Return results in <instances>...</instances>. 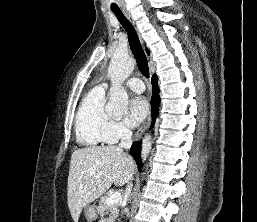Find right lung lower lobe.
I'll return each mask as SVG.
<instances>
[{
	"mask_svg": "<svg viewBox=\"0 0 257 222\" xmlns=\"http://www.w3.org/2000/svg\"><path fill=\"white\" fill-rule=\"evenodd\" d=\"M158 78L156 75H153L152 77V90H153V95L151 99V106H152V126L155 123L157 114H158V107L160 105V97H159V87L157 85ZM140 152H141V142H135L132 145V148L130 150L131 156L135 159L139 171H141L142 168V163L140 160Z\"/></svg>",
	"mask_w": 257,
	"mask_h": 222,
	"instance_id": "obj_1",
	"label": "right lung lower lobe"
}]
</instances>
